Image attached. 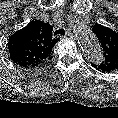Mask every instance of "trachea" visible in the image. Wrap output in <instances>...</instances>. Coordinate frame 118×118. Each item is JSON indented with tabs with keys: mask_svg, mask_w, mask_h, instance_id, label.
<instances>
[{
	"mask_svg": "<svg viewBox=\"0 0 118 118\" xmlns=\"http://www.w3.org/2000/svg\"><path fill=\"white\" fill-rule=\"evenodd\" d=\"M54 35H62L64 36L65 35V30L64 29H58L54 32Z\"/></svg>",
	"mask_w": 118,
	"mask_h": 118,
	"instance_id": "3493384b",
	"label": "trachea"
}]
</instances>
